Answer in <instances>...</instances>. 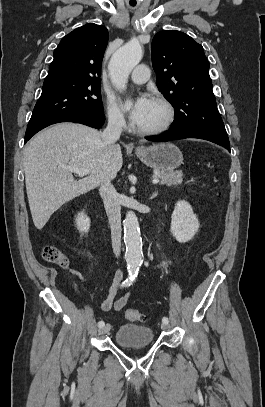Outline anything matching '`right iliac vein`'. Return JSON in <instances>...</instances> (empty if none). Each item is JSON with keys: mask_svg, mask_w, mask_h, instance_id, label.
<instances>
[{"mask_svg": "<svg viewBox=\"0 0 265 407\" xmlns=\"http://www.w3.org/2000/svg\"><path fill=\"white\" fill-rule=\"evenodd\" d=\"M110 328H111L110 324L104 325L102 328L99 329V335H103V334L109 332Z\"/></svg>", "mask_w": 265, "mask_h": 407, "instance_id": "obj_1", "label": "right iliac vein"}]
</instances>
